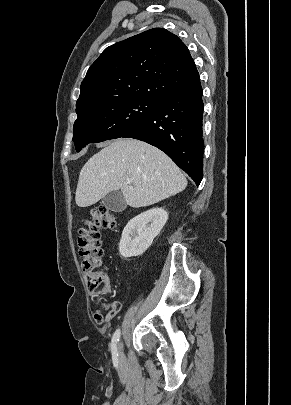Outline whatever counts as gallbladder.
I'll return each mask as SVG.
<instances>
[{"label": "gallbladder", "instance_id": "gallbladder-1", "mask_svg": "<svg viewBox=\"0 0 291 405\" xmlns=\"http://www.w3.org/2000/svg\"><path fill=\"white\" fill-rule=\"evenodd\" d=\"M103 205L113 212H121L125 210L127 204L120 191H112L108 193L102 200Z\"/></svg>", "mask_w": 291, "mask_h": 405}]
</instances>
